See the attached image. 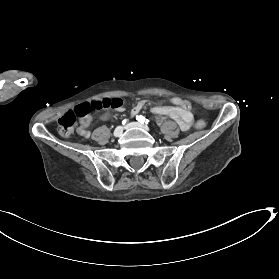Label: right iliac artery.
Instances as JSON below:
<instances>
[{
    "label": "right iliac artery",
    "mask_w": 279,
    "mask_h": 279,
    "mask_svg": "<svg viewBox=\"0 0 279 279\" xmlns=\"http://www.w3.org/2000/svg\"><path fill=\"white\" fill-rule=\"evenodd\" d=\"M126 123H127V119H124V120L122 121V124L125 125Z\"/></svg>",
    "instance_id": "82829eb1"
}]
</instances>
